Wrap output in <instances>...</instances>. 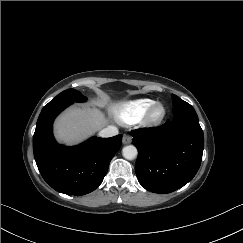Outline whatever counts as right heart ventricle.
<instances>
[{
	"label": "right heart ventricle",
	"instance_id": "right-heart-ventricle-1",
	"mask_svg": "<svg viewBox=\"0 0 243 243\" xmlns=\"http://www.w3.org/2000/svg\"><path fill=\"white\" fill-rule=\"evenodd\" d=\"M154 103L155 101L149 98L128 101L115 109L114 114L121 123L132 124L141 120Z\"/></svg>",
	"mask_w": 243,
	"mask_h": 243
}]
</instances>
